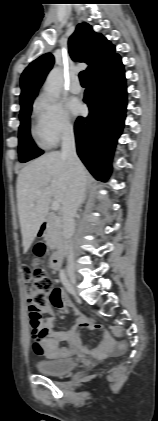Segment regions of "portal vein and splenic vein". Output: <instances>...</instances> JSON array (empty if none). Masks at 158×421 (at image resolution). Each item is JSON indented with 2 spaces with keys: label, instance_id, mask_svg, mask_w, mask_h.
Instances as JSON below:
<instances>
[{
  "label": "portal vein and splenic vein",
  "instance_id": "portal-vein-and-splenic-vein-1",
  "mask_svg": "<svg viewBox=\"0 0 158 421\" xmlns=\"http://www.w3.org/2000/svg\"><path fill=\"white\" fill-rule=\"evenodd\" d=\"M60 208V203L58 201L52 202V210L57 211Z\"/></svg>",
  "mask_w": 158,
  "mask_h": 421
}]
</instances>
